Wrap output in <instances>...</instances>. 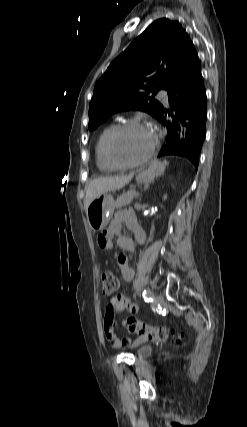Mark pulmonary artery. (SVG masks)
I'll list each match as a JSON object with an SVG mask.
<instances>
[{"label":"pulmonary artery","instance_id":"obj_1","mask_svg":"<svg viewBox=\"0 0 247 427\" xmlns=\"http://www.w3.org/2000/svg\"><path fill=\"white\" fill-rule=\"evenodd\" d=\"M158 97L165 103L168 104V94L166 91L161 90L158 93Z\"/></svg>","mask_w":247,"mask_h":427}]
</instances>
